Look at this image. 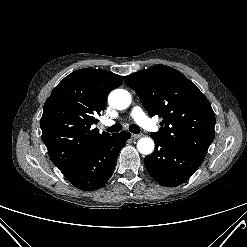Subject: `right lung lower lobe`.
I'll return each mask as SVG.
<instances>
[{"label":"right lung lower lobe","instance_id":"1","mask_svg":"<svg viewBox=\"0 0 247 247\" xmlns=\"http://www.w3.org/2000/svg\"><path fill=\"white\" fill-rule=\"evenodd\" d=\"M129 138L128 132H121L101 139L63 174L80 190L93 191L102 187L110 179L118 154Z\"/></svg>","mask_w":247,"mask_h":247}]
</instances>
